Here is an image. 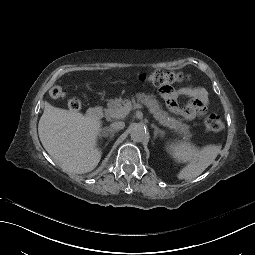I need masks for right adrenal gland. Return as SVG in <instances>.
I'll use <instances>...</instances> for the list:
<instances>
[{"label": "right adrenal gland", "instance_id": "right-adrenal-gland-1", "mask_svg": "<svg viewBox=\"0 0 255 255\" xmlns=\"http://www.w3.org/2000/svg\"><path fill=\"white\" fill-rule=\"evenodd\" d=\"M104 132V136L107 137L109 134L106 133V132H109L110 133V137L112 138L116 132V130L112 129L111 127H105L103 128L102 130Z\"/></svg>", "mask_w": 255, "mask_h": 255}]
</instances>
